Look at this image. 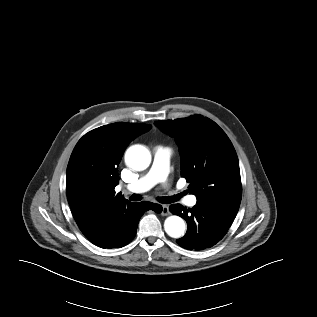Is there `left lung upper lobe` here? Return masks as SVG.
I'll list each match as a JSON object with an SVG mask.
<instances>
[{
    "instance_id": "5c2ea615",
    "label": "left lung upper lobe",
    "mask_w": 317,
    "mask_h": 317,
    "mask_svg": "<svg viewBox=\"0 0 317 317\" xmlns=\"http://www.w3.org/2000/svg\"><path fill=\"white\" fill-rule=\"evenodd\" d=\"M180 147L181 176L197 199L240 202L242 185L236 151L224 131L201 115L157 121Z\"/></svg>"
}]
</instances>
